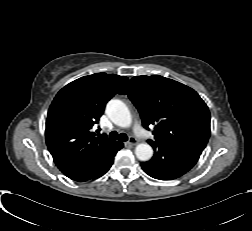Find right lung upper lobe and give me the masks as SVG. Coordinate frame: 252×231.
Masks as SVG:
<instances>
[{
    "label": "right lung upper lobe",
    "mask_w": 252,
    "mask_h": 231,
    "mask_svg": "<svg viewBox=\"0 0 252 231\" xmlns=\"http://www.w3.org/2000/svg\"><path fill=\"white\" fill-rule=\"evenodd\" d=\"M128 78L96 73L62 88L54 98L46 121V143L59 170L75 181L93 178L123 144L91 131L106 103Z\"/></svg>",
    "instance_id": "1"
}]
</instances>
